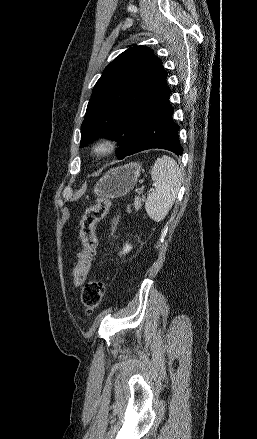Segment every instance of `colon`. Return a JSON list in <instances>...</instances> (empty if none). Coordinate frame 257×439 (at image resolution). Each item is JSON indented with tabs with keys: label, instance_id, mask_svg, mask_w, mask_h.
Here are the masks:
<instances>
[{
	"label": "colon",
	"instance_id": "obj_1",
	"mask_svg": "<svg viewBox=\"0 0 257 439\" xmlns=\"http://www.w3.org/2000/svg\"><path fill=\"white\" fill-rule=\"evenodd\" d=\"M112 200L100 197L89 206L80 221L81 251L72 273L73 284L80 286L84 283L89 271L90 263L95 255L97 247L96 226L108 213ZM120 214L114 219V226L118 224ZM105 293L104 283L99 279H93L85 283L81 291V301L88 312L96 310L102 302Z\"/></svg>",
	"mask_w": 257,
	"mask_h": 439
}]
</instances>
